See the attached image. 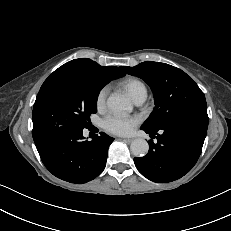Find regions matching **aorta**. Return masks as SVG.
Listing matches in <instances>:
<instances>
[{
	"instance_id": "aorta-1",
	"label": "aorta",
	"mask_w": 231,
	"mask_h": 231,
	"mask_svg": "<svg viewBox=\"0 0 231 231\" xmlns=\"http://www.w3.org/2000/svg\"><path fill=\"white\" fill-rule=\"evenodd\" d=\"M108 108L115 113H122L132 109L130 101L122 95L112 94L107 99ZM131 152L136 157H143L149 151V144L144 139H135L130 145Z\"/></svg>"
}]
</instances>
